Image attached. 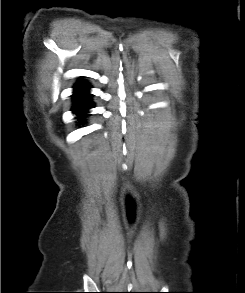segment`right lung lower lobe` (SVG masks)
I'll use <instances>...</instances> for the list:
<instances>
[{
    "label": "right lung lower lobe",
    "mask_w": 245,
    "mask_h": 293,
    "mask_svg": "<svg viewBox=\"0 0 245 293\" xmlns=\"http://www.w3.org/2000/svg\"><path fill=\"white\" fill-rule=\"evenodd\" d=\"M74 106L72 111L78 116L79 119H83L87 110L93 107V103L90 100L91 94L88 92L89 86L85 82H78L74 86Z\"/></svg>",
    "instance_id": "1"
}]
</instances>
